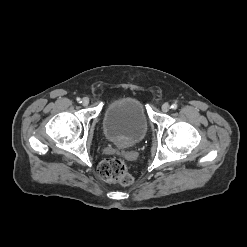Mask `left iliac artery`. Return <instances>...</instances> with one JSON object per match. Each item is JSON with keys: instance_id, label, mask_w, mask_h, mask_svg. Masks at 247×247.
Segmentation results:
<instances>
[{"instance_id": "1", "label": "left iliac artery", "mask_w": 247, "mask_h": 247, "mask_svg": "<svg viewBox=\"0 0 247 247\" xmlns=\"http://www.w3.org/2000/svg\"><path fill=\"white\" fill-rule=\"evenodd\" d=\"M177 107H178V105H177L176 103H174V104L171 105V108H172L173 110L177 109Z\"/></svg>"}]
</instances>
